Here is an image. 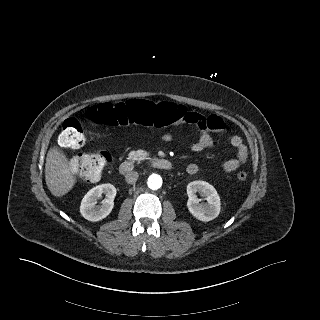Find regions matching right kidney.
<instances>
[{
  "label": "right kidney",
  "mask_w": 320,
  "mask_h": 320,
  "mask_svg": "<svg viewBox=\"0 0 320 320\" xmlns=\"http://www.w3.org/2000/svg\"><path fill=\"white\" fill-rule=\"evenodd\" d=\"M106 195L102 201V205H96L97 199ZM116 196V188L112 184L98 185L84 196L80 205L81 215L88 221L96 222L106 218L114 207V198Z\"/></svg>",
  "instance_id": "ca27d5eb"
}]
</instances>
